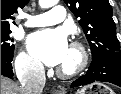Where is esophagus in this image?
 <instances>
[{
  "label": "esophagus",
  "mask_w": 121,
  "mask_h": 94,
  "mask_svg": "<svg viewBox=\"0 0 121 94\" xmlns=\"http://www.w3.org/2000/svg\"><path fill=\"white\" fill-rule=\"evenodd\" d=\"M54 94H64V91L59 90V89H55Z\"/></svg>",
  "instance_id": "esophagus-1"
}]
</instances>
